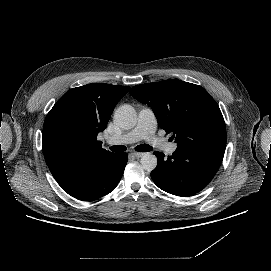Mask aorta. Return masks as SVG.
Returning a JSON list of instances; mask_svg holds the SVG:
<instances>
[{
  "label": "aorta",
  "mask_w": 271,
  "mask_h": 271,
  "mask_svg": "<svg viewBox=\"0 0 271 271\" xmlns=\"http://www.w3.org/2000/svg\"><path fill=\"white\" fill-rule=\"evenodd\" d=\"M137 113L134 107L125 104L120 106L114 114L113 120L122 129H132L137 124ZM141 166L147 172H151L157 166V157L153 154L145 153L140 160Z\"/></svg>",
  "instance_id": "obj_1"
}]
</instances>
